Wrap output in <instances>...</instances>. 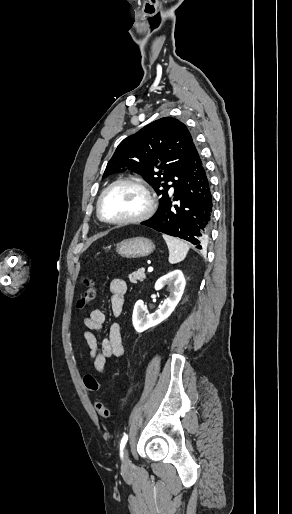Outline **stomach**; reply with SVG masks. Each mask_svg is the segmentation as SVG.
I'll return each mask as SVG.
<instances>
[{"label":"stomach","mask_w":292,"mask_h":514,"mask_svg":"<svg viewBox=\"0 0 292 514\" xmlns=\"http://www.w3.org/2000/svg\"><path fill=\"white\" fill-rule=\"evenodd\" d=\"M155 250V246L151 240L147 238H130V240H123L117 244L116 252L123 256V258H142V256H149Z\"/></svg>","instance_id":"obj_1"}]
</instances>
